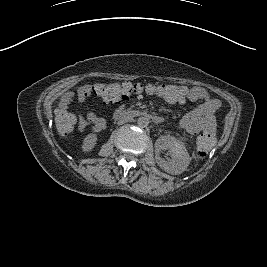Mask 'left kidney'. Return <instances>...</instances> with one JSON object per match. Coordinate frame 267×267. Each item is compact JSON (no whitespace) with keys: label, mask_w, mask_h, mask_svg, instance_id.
I'll use <instances>...</instances> for the list:
<instances>
[{"label":"left kidney","mask_w":267,"mask_h":267,"mask_svg":"<svg viewBox=\"0 0 267 267\" xmlns=\"http://www.w3.org/2000/svg\"><path fill=\"white\" fill-rule=\"evenodd\" d=\"M161 150H168L171 158L160 157ZM155 160L157 165L171 175H180L187 170L191 157L185 145L170 135H162L155 142Z\"/></svg>","instance_id":"left-kidney-1"}]
</instances>
